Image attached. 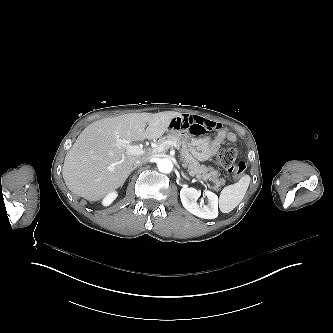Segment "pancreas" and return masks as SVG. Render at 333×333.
<instances>
[{"mask_svg": "<svg viewBox=\"0 0 333 333\" xmlns=\"http://www.w3.org/2000/svg\"><path fill=\"white\" fill-rule=\"evenodd\" d=\"M167 141H171L176 143L177 146H181L180 156L183 161L182 166L187 169L191 176H195L199 180L212 181L215 184L212 189L216 191H219L220 187L225 185L226 180L224 178H219L220 174L217 170L213 167L201 165L192 154H190L188 143L179 133H168L166 136L161 137L156 144L159 146ZM170 147L171 145L166 144L164 146V151L168 150Z\"/></svg>", "mask_w": 333, "mask_h": 333, "instance_id": "pancreas-1", "label": "pancreas"}]
</instances>
